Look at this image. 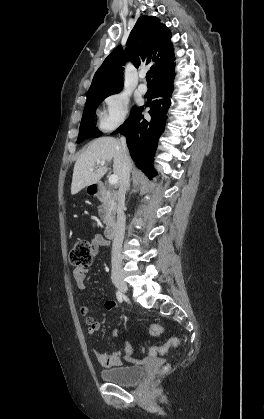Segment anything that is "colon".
<instances>
[{
  "label": "colon",
  "mask_w": 264,
  "mask_h": 419,
  "mask_svg": "<svg viewBox=\"0 0 264 419\" xmlns=\"http://www.w3.org/2000/svg\"><path fill=\"white\" fill-rule=\"evenodd\" d=\"M70 263L79 268H88L92 265L93 262V252L91 244L84 239L78 240L69 254ZM158 330L154 329V333H157ZM179 344V340L174 338L171 343L170 347H176ZM168 366L164 367V371L168 370Z\"/></svg>",
  "instance_id": "1"
}]
</instances>
